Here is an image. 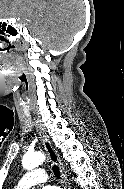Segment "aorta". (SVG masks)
I'll list each match as a JSON object with an SVG mask.
<instances>
[{
    "label": "aorta",
    "mask_w": 124,
    "mask_h": 189,
    "mask_svg": "<svg viewBox=\"0 0 124 189\" xmlns=\"http://www.w3.org/2000/svg\"><path fill=\"white\" fill-rule=\"evenodd\" d=\"M45 161V155L41 152L27 153L22 159L24 169L32 170Z\"/></svg>",
    "instance_id": "1"
}]
</instances>
